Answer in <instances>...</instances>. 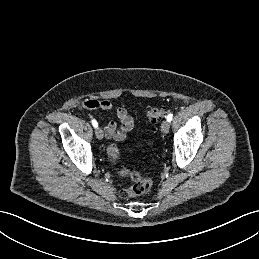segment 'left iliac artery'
Instances as JSON below:
<instances>
[{"mask_svg": "<svg viewBox=\"0 0 259 259\" xmlns=\"http://www.w3.org/2000/svg\"><path fill=\"white\" fill-rule=\"evenodd\" d=\"M172 118H173V114H172V113L168 114V116H167V121H168V122H171V121H172Z\"/></svg>", "mask_w": 259, "mask_h": 259, "instance_id": "left-iliac-artery-1", "label": "left iliac artery"}]
</instances>
